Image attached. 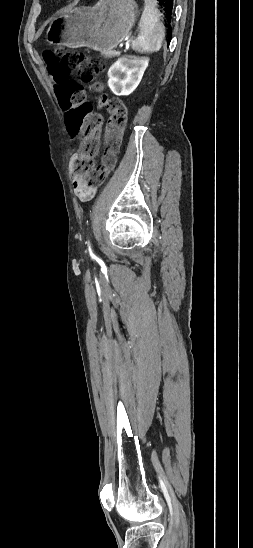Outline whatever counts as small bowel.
<instances>
[{
	"instance_id": "1",
	"label": "small bowel",
	"mask_w": 253,
	"mask_h": 548,
	"mask_svg": "<svg viewBox=\"0 0 253 548\" xmlns=\"http://www.w3.org/2000/svg\"><path fill=\"white\" fill-rule=\"evenodd\" d=\"M75 156L76 153L74 152L70 154V168L73 191L80 201L87 202L94 198L97 193L98 187L95 185H90L83 176L78 175L73 171L72 164Z\"/></svg>"
}]
</instances>
